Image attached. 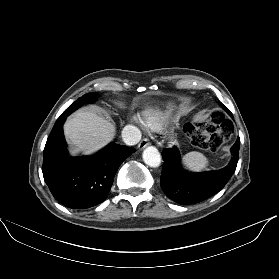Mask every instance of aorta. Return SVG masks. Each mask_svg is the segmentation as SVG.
<instances>
[{
	"instance_id": "aorta-1",
	"label": "aorta",
	"mask_w": 279,
	"mask_h": 279,
	"mask_svg": "<svg viewBox=\"0 0 279 279\" xmlns=\"http://www.w3.org/2000/svg\"><path fill=\"white\" fill-rule=\"evenodd\" d=\"M142 157L144 163L153 168L158 167L161 163V155L154 146L145 148Z\"/></svg>"
}]
</instances>
